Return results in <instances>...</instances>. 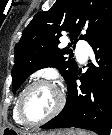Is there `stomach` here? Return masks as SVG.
<instances>
[{
  "instance_id": "0dacf381",
  "label": "stomach",
  "mask_w": 112,
  "mask_h": 135,
  "mask_svg": "<svg viewBox=\"0 0 112 135\" xmlns=\"http://www.w3.org/2000/svg\"><path fill=\"white\" fill-rule=\"evenodd\" d=\"M0 135H21V133L15 129L12 128H4L1 132ZM33 135H77V132L73 130H66V131H58V132H42L38 134H33Z\"/></svg>"
}]
</instances>
